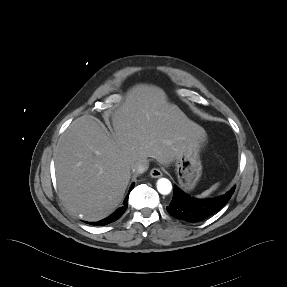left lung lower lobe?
<instances>
[{
  "label": "left lung lower lobe",
  "mask_w": 287,
  "mask_h": 287,
  "mask_svg": "<svg viewBox=\"0 0 287 287\" xmlns=\"http://www.w3.org/2000/svg\"><path fill=\"white\" fill-rule=\"evenodd\" d=\"M234 190L235 187L217 198L202 200L190 197L175 186L173 198L167 206V211L171 216L180 220L188 222L201 221L224 207Z\"/></svg>",
  "instance_id": "1"
}]
</instances>
